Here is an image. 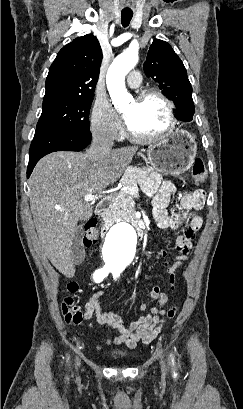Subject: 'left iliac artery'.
Instances as JSON below:
<instances>
[{
    "label": "left iliac artery",
    "instance_id": "left-iliac-artery-1",
    "mask_svg": "<svg viewBox=\"0 0 243 409\" xmlns=\"http://www.w3.org/2000/svg\"><path fill=\"white\" fill-rule=\"evenodd\" d=\"M112 273H113V276H114L115 278H117V277L120 275V272L117 271V270H113ZM172 362H173V364H174V359H172Z\"/></svg>",
    "mask_w": 243,
    "mask_h": 409
}]
</instances>
